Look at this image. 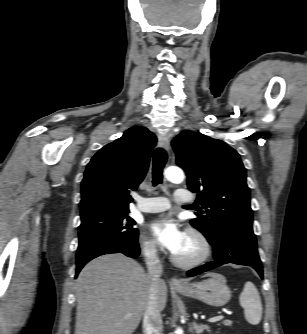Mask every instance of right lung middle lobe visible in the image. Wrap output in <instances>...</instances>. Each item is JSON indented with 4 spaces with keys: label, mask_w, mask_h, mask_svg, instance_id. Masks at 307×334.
Wrapping results in <instances>:
<instances>
[{
    "label": "right lung middle lobe",
    "mask_w": 307,
    "mask_h": 334,
    "mask_svg": "<svg viewBox=\"0 0 307 334\" xmlns=\"http://www.w3.org/2000/svg\"><path fill=\"white\" fill-rule=\"evenodd\" d=\"M135 221L127 212H100L81 216L76 261L106 249L133 246L138 240Z\"/></svg>",
    "instance_id": "right-lung-middle-lobe-1"
}]
</instances>
